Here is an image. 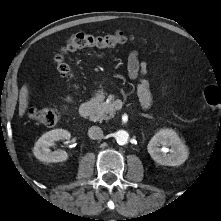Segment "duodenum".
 I'll list each match as a JSON object with an SVG mask.
<instances>
[{
    "mask_svg": "<svg viewBox=\"0 0 221 221\" xmlns=\"http://www.w3.org/2000/svg\"><path fill=\"white\" fill-rule=\"evenodd\" d=\"M93 110V104L91 102H85L80 106L79 115L82 119H86L90 116Z\"/></svg>",
    "mask_w": 221,
    "mask_h": 221,
    "instance_id": "obj_1",
    "label": "duodenum"
}]
</instances>
